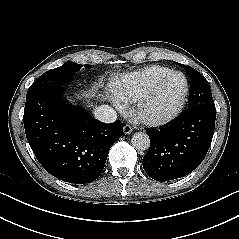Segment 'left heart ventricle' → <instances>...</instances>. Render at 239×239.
<instances>
[{"mask_svg":"<svg viewBox=\"0 0 239 239\" xmlns=\"http://www.w3.org/2000/svg\"><path fill=\"white\" fill-rule=\"evenodd\" d=\"M183 87L184 82L180 76L168 79L150 98L146 105V113L151 116H161L170 112L180 98Z\"/></svg>","mask_w":239,"mask_h":239,"instance_id":"left-heart-ventricle-1","label":"left heart ventricle"}]
</instances>
